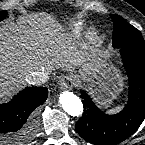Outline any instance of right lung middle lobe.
Listing matches in <instances>:
<instances>
[{
  "label": "right lung middle lobe",
  "mask_w": 145,
  "mask_h": 145,
  "mask_svg": "<svg viewBox=\"0 0 145 145\" xmlns=\"http://www.w3.org/2000/svg\"><path fill=\"white\" fill-rule=\"evenodd\" d=\"M7 16V11H0V21H2Z\"/></svg>",
  "instance_id": "dd1d6c3e"
}]
</instances>
